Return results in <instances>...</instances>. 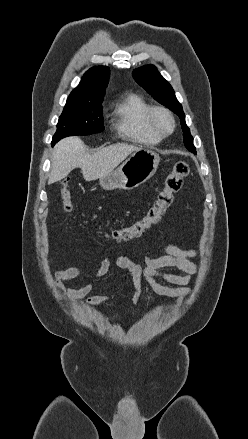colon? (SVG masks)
<instances>
[{"label": "colon", "instance_id": "colon-1", "mask_svg": "<svg viewBox=\"0 0 248 439\" xmlns=\"http://www.w3.org/2000/svg\"><path fill=\"white\" fill-rule=\"evenodd\" d=\"M189 173L190 167L186 162L180 161L176 163L172 172L166 177L163 189L146 215L129 227L105 233V239L112 243H123L142 236L161 220L162 216L172 204L174 194L181 189L183 180ZM61 200L63 210L70 213L73 209V205L67 180L62 182Z\"/></svg>", "mask_w": 248, "mask_h": 439}]
</instances>
